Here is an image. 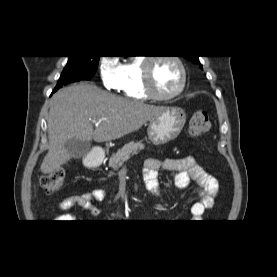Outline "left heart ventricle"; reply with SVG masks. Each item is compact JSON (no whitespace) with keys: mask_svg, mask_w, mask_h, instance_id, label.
I'll use <instances>...</instances> for the list:
<instances>
[{"mask_svg":"<svg viewBox=\"0 0 277 277\" xmlns=\"http://www.w3.org/2000/svg\"><path fill=\"white\" fill-rule=\"evenodd\" d=\"M153 84L161 95H169L177 90L180 84V70L171 60L159 59L152 67Z\"/></svg>","mask_w":277,"mask_h":277,"instance_id":"1","label":"left heart ventricle"}]
</instances>
